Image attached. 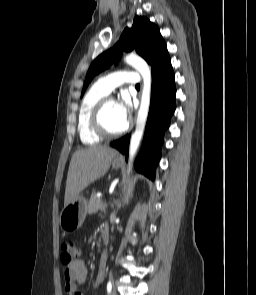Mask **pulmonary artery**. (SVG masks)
<instances>
[{"instance_id":"1","label":"pulmonary artery","mask_w":256,"mask_h":295,"mask_svg":"<svg viewBox=\"0 0 256 295\" xmlns=\"http://www.w3.org/2000/svg\"><path fill=\"white\" fill-rule=\"evenodd\" d=\"M139 74L135 71L120 70L98 79L96 85L106 94L111 93L116 87L122 84H138Z\"/></svg>"}]
</instances>
